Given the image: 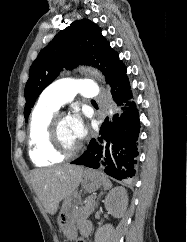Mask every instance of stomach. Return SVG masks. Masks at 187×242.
Masks as SVG:
<instances>
[{"instance_id": "stomach-1", "label": "stomach", "mask_w": 187, "mask_h": 242, "mask_svg": "<svg viewBox=\"0 0 187 242\" xmlns=\"http://www.w3.org/2000/svg\"><path fill=\"white\" fill-rule=\"evenodd\" d=\"M82 189L88 193L98 190L103 185L101 173L93 169H85L80 179ZM81 204V196L77 191L65 197L59 212L57 223L68 240L76 237L77 228L83 218L78 214Z\"/></svg>"}]
</instances>
